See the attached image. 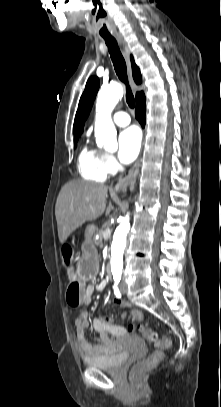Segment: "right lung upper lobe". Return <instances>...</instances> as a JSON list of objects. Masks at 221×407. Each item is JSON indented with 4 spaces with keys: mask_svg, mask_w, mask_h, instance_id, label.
Wrapping results in <instances>:
<instances>
[{
    "mask_svg": "<svg viewBox=\"0 0 221 407\" xmlns=\"http://www.w3.org/2000/svg\"><path fill=\"white\" fill-rule=\"evenodd\" d=\"M131 64H132L133 78H134L136 84H139V83H141V81H142V76H141L140 70H139V68L137 67V65L135 64L134 59H133L132 56H131ZM144 97H145V96H144V93H143V92H138V93L136 94V102H137L138 100L144 98ZM77 140H78L77 120L75 119V122H74V141L76 142Z\"/></svg>",
    "mask_w": 221,
    "mask_h": 407,
    "instance_id": "right-lung-upper-lobe-1",
    "label": "right lung upper lobe"
}]
</instances>
